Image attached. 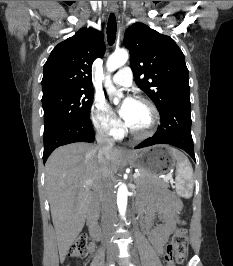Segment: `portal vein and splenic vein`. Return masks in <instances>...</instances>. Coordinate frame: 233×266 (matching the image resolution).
Returning <instances> with one entry per match:
<instances>
[{
    "label": "portal vein and splenic vein",
    "instance_id": "portal-vein-and-splenic-vein-1",
    "mask_svg": "<svg viewBox=\"0 0 233 266\" xmlns=\"http://www.w3.org/2000/svg\"><path fill=\"white\" fill-rule=\"evenodd\" d=\"M140 176V173L139 172H136V173H134L133 174V178H137V177H139ZM171 177H172V175L171 174H168V175H166V176H164L163 177V180L164 181H168V180H170L171 179ZM85 185H91L92 184V181H86L85 183H84Z\"/></svg>",
    "mask_w": 233,
    "mask_h": 266
}]
</instances>
